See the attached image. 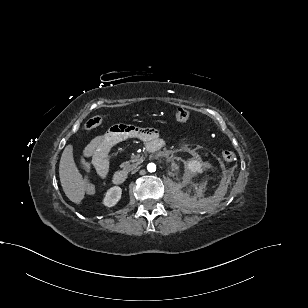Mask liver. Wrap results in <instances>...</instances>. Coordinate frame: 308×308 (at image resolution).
<instances>
[{"label":"liver","instance_id":"liver-1","mask_svg":"<svg viewBox=\"0 0 308 308\" xmlns=\"http://www.w3.org/2000/svg\"><path fill=\"white\" fill-rule=\"evenodd\" d=\"M61 186L66 196L74 203H80L85 195L86 182L80 174L74 158L73 146L67 145L59 164Z\"/></svg>","mask_w":308,"mask_h":308}]
</instances>
